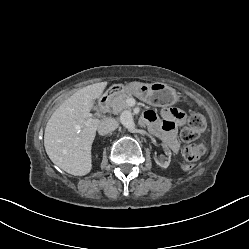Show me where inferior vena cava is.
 <instances>
[{
    "instance_id": "602c4592",
    "label": "inferior vena cava",
    "mask_w": 249,
    "mask_h": 249,
    "mask_svg": "<svg viewBox=\"0 0 249 249\" xmlns=\"http://www.w3.org/2000/svg\"><path fill=\"white\" fill-rule=\"evenodd\" d=\"M118 127V122L114 118L103 119L98 126V133L105 136Z\"/></svg>"
}]
</instances>
